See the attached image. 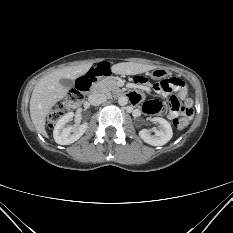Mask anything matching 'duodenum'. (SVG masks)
Here are the masks:
<instances>
[{"instance_id": "obj_1", "label": "duodenum", "mask_w": 233, "mask_h": 233, "mask_svg": "<svg viewBox=\"0 0 233 233\" xmlns=\"http://www.w3.org/2000/svg\"><path fill=\"white\" fill-rule=\"evenodd\" d=\"M110 70V67L106 63H101L98 65V67L92 68L89 72L86 73L85 79L87 82L92 83L94 82L100 74H106ZM96 92V93H101V88L99 85H92L91 86V93ZM130 99L133 100V95L131 94Z\"/></svg>"}]
</instances>
